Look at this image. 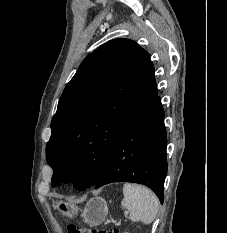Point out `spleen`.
<instances>
[{
  "mask_svg": "<svg viewBox=\"0 0 227 233\" xmlns=\"http://www.w3.org/2000/svg\"><path fill=\"white\" fill-rule=\"evenodd\" d=\"M122 208L129 211L132 222L150 224L157 216L159 201L156 195L145 186L126 183L123 186Z\"/></svg>",
  "mask_w": 227,
  "mask_h": 233,
  "instance_id": "spleen-1",
  "label": "spleen"
}]
</instances>
